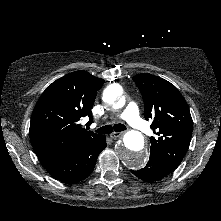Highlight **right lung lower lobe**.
Masks as SVG:
<instances>
[{"label": "right lung lower lobe", "instance_id": "right-lung-lower-lobe-1", "mask_svg": "<svg viewBox=\"0 0 221 221\" xmlns=\"http://www.w3.org/2000/svg\"><path fill=\"white\" fill-rule=\"evenodd\" d=\"M107 146L104 136L58 154L38 157L44 168L57 180L77 183L93 170L99 153Z\"/></svg>", "mask_w": 221, "mask_h": 221}]
</instances>
